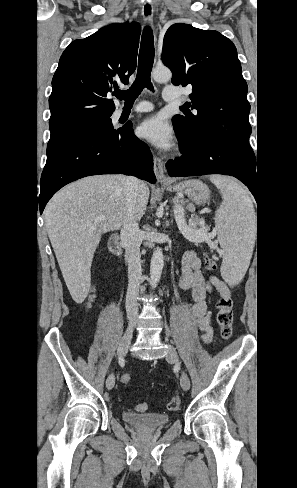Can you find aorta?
Masks as SVG:
<instances>
[{
	"label": "aorta",
	"instance_id": "aorta-1",
	"mask_svg": "<svg viewBox=\"0 0 297 488\" xmlns=\"http://www.w3.org/2000/svg\"><path fill=\"white\" fill-rule=\"evenodd\" d=\"M172 77L171 71L166 67H155L152 71V78L154 81L161 83L169 81ZM164 266V256L162 249L156 247L153 251L150 263V286L155 288L160 281L162 270Z\"/></svg>",
	"mask_w": 297,
	"mask_h": 488
}]
</instances>
